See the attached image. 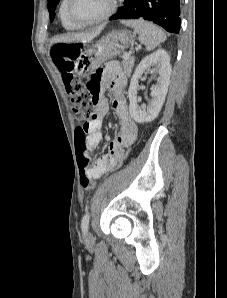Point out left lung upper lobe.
<instances>
[{"label":"left lung upper lobe","mask_w":227,"mask_h":298,"mask_svg":"<svg viewBox=\"0 0 227 298\" xmlns=\"http://www.w3.org/2000/svg\"><path fill=\"white\" fill-rule=\"evenodd\" d=\"M60 0H48V10L50 13V20L53 21L54 19V11L56 9L57 4Z\"/></svg>","instance_id":"5c2ea615"}]
</instances>
